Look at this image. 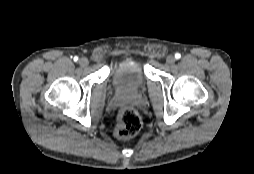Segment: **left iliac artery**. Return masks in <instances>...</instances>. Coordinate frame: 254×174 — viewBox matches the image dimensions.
<instances>
[{
  "label": "left iliac artery",
  "mask_w": 254,
  "mask_h": 174,
  "mask_svg": "<svg viewBox=\"0 0 254 174\" xmlns=\"http://www.w3.org/2000/svg\"><path fill=\"white\" fill-rule=\"evenodd\" d=\"M180 57H181L180 53H176V54H175V58H176V59H179Z\"/></svg>",
  "instance_id": "left-iliac-artery-1"
}]
</instances>
